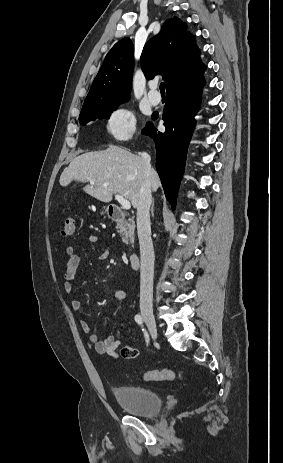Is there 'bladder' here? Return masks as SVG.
I'll return each instance as SVG.
<instances>
[{
  "mask_svg": "<svg viewBox=\"0 0 283 463\" xmlns=\"http://www.w3.org/2000/svg\"><path fill=\"white\" fill-rule=\"evenodd\" d=\"M118 404L130 415L151 418L162 410L158 393L138 386H119L113 390Z\"/></svg>",
  "mask_w": 283,
  "mask_h": 463,
  "instance_id": "bladder-1",
  "label": "bladder"
}]
</instances>
